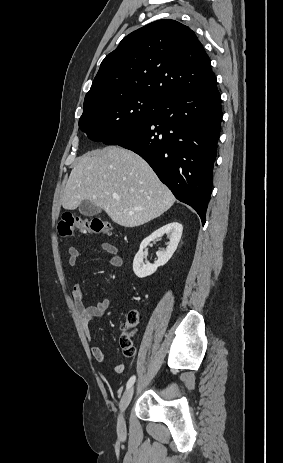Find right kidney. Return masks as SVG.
<instances>
[{
  "label": "right kidney",
  "mask_w": 283,
  "mask_h": 463,
  "mask_svg": "<svg viewBox=\"0 0 283 463\" xmlns=\"http://www.w3.org/2000/svg\"><path fill=\"white\" fill-rule=\"evenodd\" d=\"M182 231V224L178 222H172L159 228L158 230L154 231L149 237L145 238L141 242L139 251L137 252L133 260V271L135 275L139 278H144L153 274L159 266L165 265L177 249L178 243L181 239ZM164 234H167L170 240L166 250L157 252L158 260L154 264H151L147 261L144 263L143 260L145 257L143 249L146 248V246L151 241L163 236Z\"/></svg>",
  "instance_id": "1"
}]
</instances>
